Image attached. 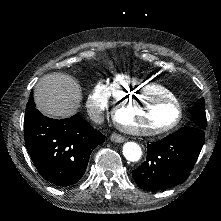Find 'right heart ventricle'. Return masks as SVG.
<instances>
[{
	"instance_id": "right-heart-ventricle-1",
	"label": "right heart ventricle",
	"mask_w": 221,
	"mask_h": 221,
	"mask_svg": "<svg viewBox=\"0 0 221 221\" xmlns=\"http://www.w3.org/2000/svg\"><path fill=\"white\" fill-rule=\"evenodd\" d=\"M110 94L116 99L132 98L133 96H141L142 94L145 96L155 94L156 96L170 98L173 95V90L170 87L156 85L155 83L148 85L145 81L136 79L128 74H119L112 81Z\"/></svg>"
}]
</instances>
